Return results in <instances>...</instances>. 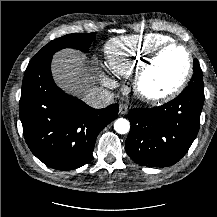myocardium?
<instances>
[{"label": "myocardium", "mask_w": 217, "mask_h": 217, "mask_svg": "<svg viewBox=\"0 0 217 217\" xmlns=\"http://www.w3.org/2000/svg\"><path fill=\"white\" fill-rule=\"evenodd\" d=\"M177 48L184 51L187 56L188 66L185 74L183 75L180 82L170 91L160 94H149L143 89V82L153 67L155 62L159 59V57L167 50ZM194 66H193V56L191 51L185 46L177 42H168L157 49H155L140 65L138 70L135 72L134 79H133V89L135 94L138 96L139 99L148 103V104H159L165 103L175 99L179 96L187 87L188 83L190 82L193 76Z\"/></svg>", "instance_id": "1"}]
</instances>
